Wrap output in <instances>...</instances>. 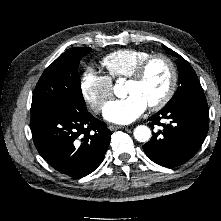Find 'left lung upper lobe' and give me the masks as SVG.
Returning a JSON list of instances; mask_svg holds the SVG:
<instances>
[{
    "instance_id": "left-lung-upper-lobe-1",
    "label": "left lung upper lobe",
    "mask_w": 221,
    "mask_h": 221,
    "mask_svg": "<svg viewBox=\"0 0 221 221\" xmlns=\"http://www.w3.org/2000/svg\"><path fill=\"white\" fill-rule=\"evenodd\" d=\"M163 48L177 58L176 64L179 71V87L164 108L174 107L186 101H206L198 77L190 64L171 49L165 46Z\"/></svg>"
}]
</instances>
